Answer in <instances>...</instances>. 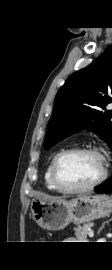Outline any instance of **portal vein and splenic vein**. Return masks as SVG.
I'll use <instances>...</instances> for the list:
<instances>
[{"instance_id":"portal-vein-and-splenic-vein-1","label":"portal vein and splenic vein","mask_w":112,"mask_h":270,"mask_svg":"<svg viewBox=\"0 0 112 270\" xmlns=\"http://www.w3.org/2000/svg\"><path fill=\"white\" fill-rule=\"evenodd\" d=\"M88 235H89V237H93V236H94L93 231H92V230H90V231H89V233H88Z\"/></svg>"}]
</instances>
